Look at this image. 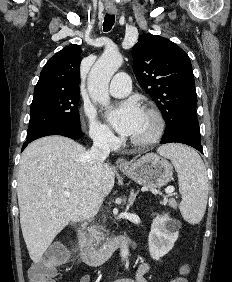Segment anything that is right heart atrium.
Masks as SVG:
<instances>
[{
  "label": "right heart atrium",
  "instance_id": "obj_1",
  "mask_svg": "<svg viewBox=\"0 0 232 282\" xmlns=\"http://www.w3.org/2000/svg\"><path fill=\"white\" fill-rule=\"evenodd\" d=\"M84 116L88 124L89 135L94 142L104 147H112L116 144V137L112 131L101 123L94 110L84 109Z\"/></svg>",
  "mask_w": 232,
  "mask_h": 282
}]
</instances>
